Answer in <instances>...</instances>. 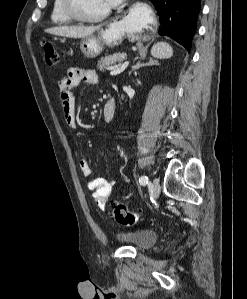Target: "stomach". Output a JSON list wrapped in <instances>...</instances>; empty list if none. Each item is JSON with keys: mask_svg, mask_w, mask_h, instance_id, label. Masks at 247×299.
Listing matches in <instances>:
<instances>
[{"mask_svg": "<svg viewBox=\"0 0 247 299\" xmlns=\"http://www.w3.org/2000/svg\"><path fill=\"white\" fill-rule=\"evenodd\" d=\"M128 35L124 21H110L104 23L97 31L85 37L80 42V50L87 58L97 57L107 47H114Z\"/></svg>", "mask_w": 247, "mask_h": 299, "instance_id": "obj_1", "label": "stomach"}]
</instances>
